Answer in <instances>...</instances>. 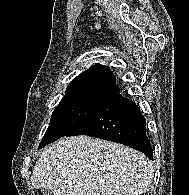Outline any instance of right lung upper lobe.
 <instances>
[{
  "label": "right lung upper lobe",
  "instance_id": "cb5924a9",
  "mask_svg": "<svg viewBox=\"0 0 189 195\" xmlns=\"http://www.w3.org/2000/svg\"><path fill=\"white\" fill-rule=\"evenodd\" d=\"M120 89L115 76L107 66L97 64L79 74L68 86L66 92H94L112 95Z\"/></svg>",
  "mask_w": 189,
  "mask_h": 195
}]
</instances>
